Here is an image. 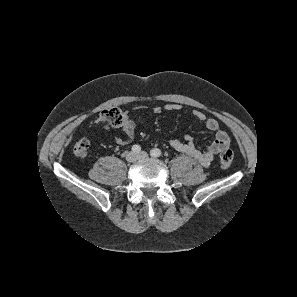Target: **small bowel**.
<instances>
[{
	"mask_svg": "<svg viewBox=\"0 0 297 297\" xmlns=\"http://www.w3.org/2000/svg\"><path fill=\"white\" fill-rule=\"evenodd\" d=\"M180 108L181 106L178 104H168L165 106V110L167 111H177ZM161 111L162 108L158 106L152 109L154 114H159ZM192 114L196 119L204 122L207 129L215 132V138L212 143L203 152L195 147L191 137H185L183 141L173 139L170 141V145L178 152L195 159L202 166L208 167L214 160L215 155L228 148L230 139L225 131L219 129V123L215 118L207 117L204 112L199 110H194ZM136 127L135 121L126 117L122 124V131L125 137L116 138L115 142L118 145H127L130 143L135 136Z\"/></svg>",
	"mask_w": 297,
	"mask_h": 297,
	"instance_id": "c3829d8e",
	"label": "small bowel"
}]
</instances>
